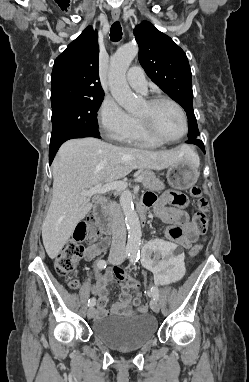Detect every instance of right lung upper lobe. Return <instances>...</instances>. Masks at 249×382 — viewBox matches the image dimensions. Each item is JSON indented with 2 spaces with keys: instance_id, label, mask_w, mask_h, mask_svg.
<instances>
[{
  "instance_id": "right-lung-upper-lobe-1",
  "label": "right lung upper lobe",
  "mask_w": 249,
  "mask_h": 382,
  "mask_svg": "<svg viewBox=\"0 0 249 382\" xmlns=\"http://www.w3.org/2000/svg\"><path fill=\"white\" fill-rule=\"evenodd\" d=\"M97 38V31L87 27L56 58L51 76L52 105L104 96L99 80Z\"/></svg>"
}]
</instances>
